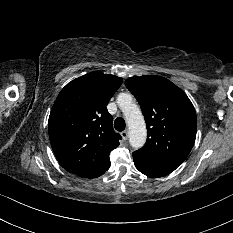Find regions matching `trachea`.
Masks as SVG:
<instances>
[{"mask_svg":"<svg viewBox=\"0 0 233 233\" xmlns=\"http://www.w3.org/2000/svg\"><path fill=\"white\" fill-rule=\"evenodd\" d=\"M125 120L122 117H118L114 121V127L117 131L121 132L125 129Z\"/></svg>","mask_w":233,"mask_h":233,"instance_id":"3493384b","label":"trachea"}]
</instances>
